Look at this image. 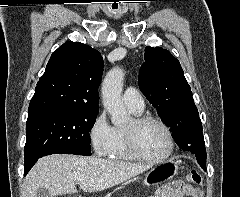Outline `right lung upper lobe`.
<instances>
[{
    "label": "right lung upper lobe",
    "mask_w": 240,
    "mask_h": 197,
    "mask_svg": "<svg viewBox=\"0 0 240 197\" xmlns=\"http://www.w3.org/2000/svg\"><path fill=\"white\" fill-rule=\"evenodd\" d=\"M101 54L90 46L68 41L50 57L39 79L28 112L44 109L99 111Z\"/></svg>",
    "instance_id": "right-lung-upper-lobe-1"
}]
</instances>
